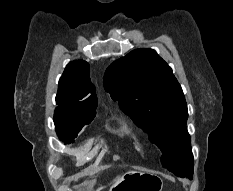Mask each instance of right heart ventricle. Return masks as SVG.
<instances>
[{
	"label": "right heart ventricle",
	"mask_w": 233,
	"mask_h": 191,
	"mask_svg": "<svg viewBox=\"0 0 233 191\" xmlns=\"http://www.w3.org/2000/svg\"><path fill=\"white\" fill-rule=\"evenodd\" d=\"M121 132L122 134L128 135L130 133V130L127 126H122Z\"/></svg>",
	"instance_id": "obj_1"
}]
</instances>
